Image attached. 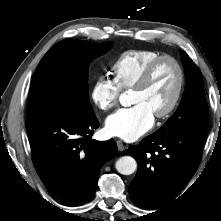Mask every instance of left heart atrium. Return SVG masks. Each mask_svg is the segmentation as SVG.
I'll list each match as a JSON object with an SVG mask.
<instances>
[{"mask_svg":"<svg viewBox=\"0 0 221 221\" xmlns=\"http://www.w3.org/2000/svg\"><path fill=\"white\" fill-rule=\"evenodd\" d=\"M154 123L153 113L143 104L123 108L110 115L105 123L110 136L134 141L146 133Z\"/></svg>","mask_w":221,"mask_h":221,"instance_id":"obj_1","label":"left heart atrium"}]
</instances>
